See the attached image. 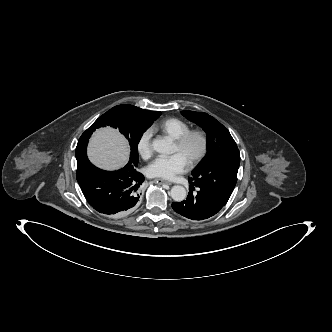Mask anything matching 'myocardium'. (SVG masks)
Instances as JSON below:
<instances>
[{
  "label": "myocardium",
  "instance_id": "f54148a6",
  "mask_svg": "<svg viewBox=\"0 0 332 332\" xmlns=\"http://www.w3.org/2000/svg\"><path fill=\"white\" fill-rule=\"evenodd\" d=\"M192 138H198L200 141V147L198 151L189 157L187 160L190 166H194L198 164L207 154L209 147V140L207 133L201 129H189L185 133H183L179 138L175 139V144L180 150H184L189 141Z\"/></svg>",
  "mask_w": 332,
  "mask_h": 332
}]
</instances>
